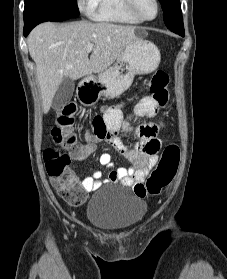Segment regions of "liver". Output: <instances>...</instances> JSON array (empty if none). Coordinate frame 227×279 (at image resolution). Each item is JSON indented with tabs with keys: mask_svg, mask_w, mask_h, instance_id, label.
Masks as SVG:
<instances>
[{
	"mask_svg": "<svg viewBox=\"0 0 227 279\" xmlns=\"http://www.w3.org/2000/svg\"><path fill=\"white\" fill-rule=\"evenodd\" d=\"M136 27L113 23L80 21L66 24L46 22L35 27L27 45L36 64L43 112L47 113L63 80H77L102 73L123 49L137 38ZM88 44L94 49L88 57Z\"/></svg>",
	"mask_w": 227,
	"mask_h": 279,
	"instance_id": "obj_1",
	"label": "liver"
}]
</instances>
